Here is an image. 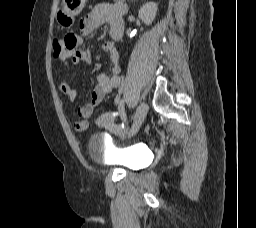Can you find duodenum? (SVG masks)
I'll return each mask as SVG.
<instances>
[{
	"mask_svg": "<svg viewBox=\"0 0 256 228\" xmlns=\"http://www.w3.org/2000/svg\"><path fill=\"white\" fill-rule=\"evenodd\" d=\"M113 36L114 38L119 39L121 37V32L117 29H114Z\"/></svg>",
	"mask_w": 256,
	"mask_h": 228,
	"instance_id": "410a0bca",
	"label": "duodenum"
}]
</instances>
